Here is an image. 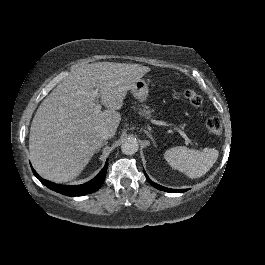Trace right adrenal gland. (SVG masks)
Returning <instances> with one entry per match:
<instances>
[{
	"label": "right adrenal gland",
	"mask_w": 265,
	"mask_h": 265,
	"mask_svg": "<svg viewBox=\"0 0 265 265\" xmlns=\"http://www.w3.org/2000/svg\"><path fill=\"white\" fill-rule=\"evenodd\" d=\"M107 143H108L107 140H106L105 142L101 143V144L99 145V147L96 149L95 154H97V153L101 150V148H102L104 145H107Z\"/></svg>",
	"instance_id": "right-adrenal-gland-1"
}]
</instances>
